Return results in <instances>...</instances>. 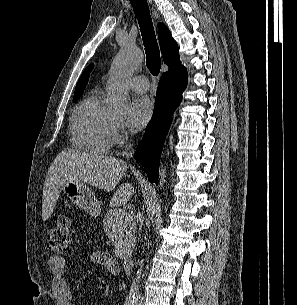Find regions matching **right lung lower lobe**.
<instances>
[{
  "label": "right lung lower lobe",
  "mask_w": 297,
  "mask_h": 305,
  "mask_svg": "<svg viewBox=\"0 0 297 305\" xmlns=\"http://www.w3.org/2000/svg\"><path fill=\"white\" fill-rule=\"evenodd\" d=\"M186 83L187 71L184 67L162 75L158 84L153 117L136 149V161L142 163L149 180L155 183H158L157 168L162 146Z\"/></svg>",
  "instance_id": "obj_1"
}]
</instances>
